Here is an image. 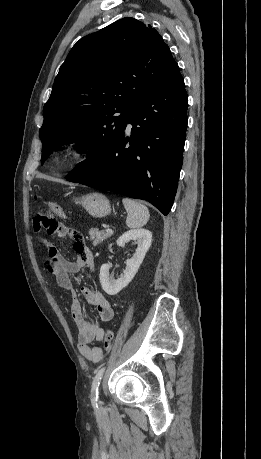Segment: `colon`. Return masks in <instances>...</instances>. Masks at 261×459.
Returning <instances> with one entry per match:
<instances>
[{
    "mask_svg": "<svg viewBox=\"0 0 261 459\" xmlns=\"http://www.w3.org/2000/svg\"><path fill=\"white\" fill-rule=\"evenodd\" d=\"M48 210L46 212H40L35 215L34 223L30 225V228L35 232L38 233L40 228L52 229L55 224V216L58 217H65L64 209L55 202H47ZM41 234L40 232L38 233ZM114 339V332L111 329H108L105 333L104 340H103V348L106 352H109L112 348Z\"/></svg>",
    "mask_w": 261,
    "mask_h": 459,
    "instance_id": "1",
    "label": "colon"
}]
</instances>
